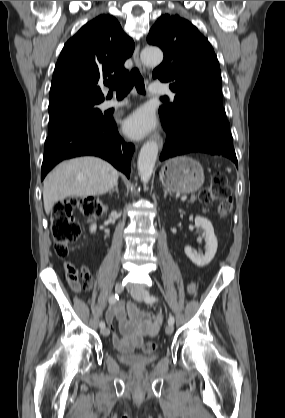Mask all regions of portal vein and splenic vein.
Here are the masks:
<instances>
[{
	"mask_svg": "<svg viewBox=\"0 0 285 418\" xmlns=\"http://www.w3.org/2000/svg\"><path fill=\"white\" fill-rule=\"evenodd\" d=\"M186 199H187V196L186 195H184V196L181 197V200L182 201H186Z\"/></svg>",
	"mask_w": 285,
	"mask_h": 418,
	"instance_id": "obj_1",
	"label": "portal vein and splenic vein"
}]
</instances>
